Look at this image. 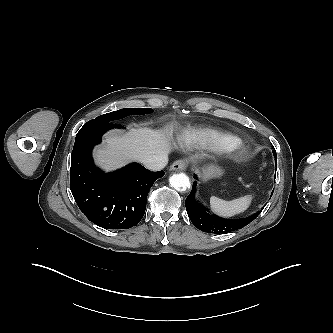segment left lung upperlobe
Returning a JSON list of instances; mask_svg holds the SVG:
<instances>
[{"label":"left lung upper lobe","instance_id":"5c2ea615","mask_svg":"<svg viewBox=\"0 0 333 333\" xmlns=\"http://www.w3.org/2000/svg\"><path fill=\"white\" fill-rule=\"evenodd\" d=\"M273 154H274V157L276 158V151L273 150ZM276 163H277V159H275Z\"/></svg>","mask_w":333,"mask_h":333}]
</instances>
